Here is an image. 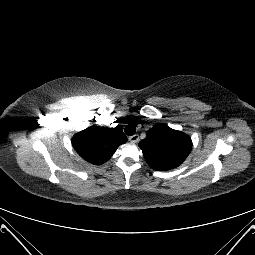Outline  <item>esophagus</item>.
Masks as SVG:
<instances>
[{
	"label": "esophagus",
	"mask_w": 255,
	"mask_h": 255,
	"mask_svg": "<svg viewBox=\"0 0 255 255\" xmlns=\"http://www.w3.org/2000/svg\"><path fill=\"white\" fill-rule=\"evenodd\" d=\"M129 141L132 143H137L139 141V135L135 134L129 137Z\"/></svg>",
	"instance_id": "1"
}]
</instances>
